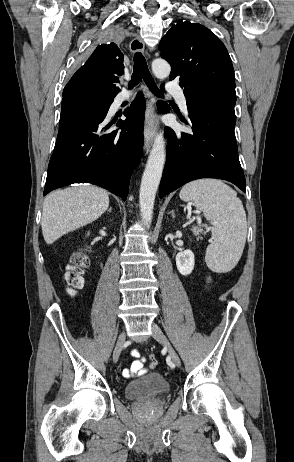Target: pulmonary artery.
<instances>
[{"label":"pulmonary artery","instance_id":"obj_1","mask_svg":"<svg viewBox=\"0 0 294 462\" xmlns=\"http://www.w3.org/2000/svg\"><path fill=\"white\" fill-rule=\"evenodd\" d=\"M168 89L174 95V97L176 98V101L179 104L181 110L184 113H187V111H188L187 110V100H186V97L184 95L183 90L179 86H176V85H173V84H170L168 86ZM131 97H132V94L130 92L124 90L123 92H121L119 94V96L117 98V102L120 103L122 101L130 99Z\"/></svg>","mask_w":294,"mask_h":462}]
</instances>
